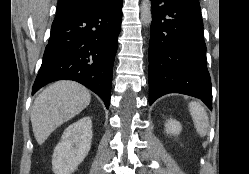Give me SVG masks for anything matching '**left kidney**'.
Segmentation results:
<instances>
[{"instance_id":"left-kidney-1","label":"left kidney","mask_w":249,"mask_h":174,"mask_svg":"<svg viewBox=\"0 0 249 174\" xmlns=\"http://www.w3.org/2000/svg\"><path fill=\"white\" fill-rule=\"evenodd\" d=\"M165 129L167 134L179 135L182 131V125L179 121L175 119H170L165 124Z\"/></svg>"}]
</instances>
